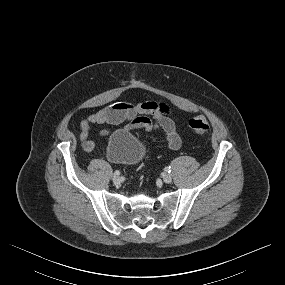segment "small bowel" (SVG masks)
Masks as SVG:
<instances>
[{"mask_svg": "<svg viewBox=\"0 0 285 285\" xmlns=\"http://www.w3.org/2000/svg\"><path fill=\"white\" fill-rule=\"evenodd\" d=\"M128 122V130L142 129L145 132L163 133L170 150L181 146V138L176 131L170 109L164 102L146 101L140 103L118 102L107 106L83 119L80 123L79 139L85 151L92 152L95 143L89 138L92 124L117 125Z\"/></svg>", "mask_w": 285, "mask_h": 285, "instance_id": "obj_1", "label": "small bowel"}]
</instances>
